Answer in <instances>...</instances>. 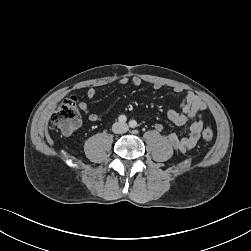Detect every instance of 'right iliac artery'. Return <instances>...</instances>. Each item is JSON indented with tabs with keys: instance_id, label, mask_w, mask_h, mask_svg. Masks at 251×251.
<instances>
[{
	"instance_id": "82829eb1",
	"label": "right iliac artery",
	"mask_w": 251,
	"mask_h": 251,
	"mask_svg": "<svg viewBox=\"0 0 251 251\" xmlns=\"http://www.w3.org/2000/svg\"><path fill=\"white\" fill-rule=\"evenodd\" d=\"M118 120H119V122L124 123V122L127 121V118H126L125 115H120V116L118 117Z\"/></svg>"
}]
</instances>
